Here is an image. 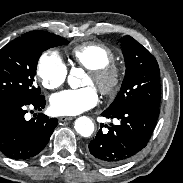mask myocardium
<instances>
[{
    "label": "myocardium",
    "mask_w": 183,
    "mask_h": 183,
    "mask_svg": "<svg viewBox=\"0 0 183 183\" xmlns=\"http://www.w3.org/2000/svg\"><path fill=\"white\" fill-rule=\"evenodd\" d=\"M89 75L95 87L106 96L113 95L120 88L124 69L116 63H109L100 68L89 70Z\"/></svg>",
    "instance_id": "myocardium-1"
}]
</instances>
